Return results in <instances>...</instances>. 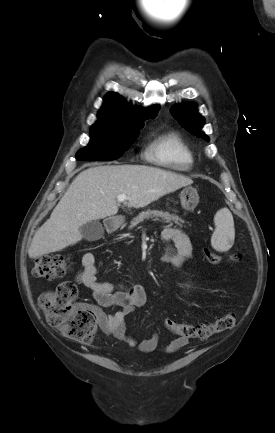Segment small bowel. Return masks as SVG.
I'll return each instance as SVG.
<instances>
[{"label": "small bowel", "instance_id": "1", "mask_svg": "<svg viewBox=\"0 0 275 433\" xmlns=\"http://www.w3.org/2000/svg\"><path fill=\"white\" fill-rule=\"evenodd\" d=\"M166 243L163 261L179 267L191 256V243L188 236L178 228L167 227L162 232ZM82 270L76 275V282L89 289L95 304L91 307L102 331L125 342L129 347L137 346L136 340L126 333V319L135 309L143 307L147 302L146 291L141 285L124 286L109 281L97 280L96 256L93 252H85L81 258ZM121 309L107 314L105 308ZM159 337L153 334L143 340L138 348L143 352H152L157 348ZM187 344V339L179 337L172 340L165 348L167 352L177 351Z\"/></svg>", "mask_w": 275, "mask_h": 433}]
</instances>
